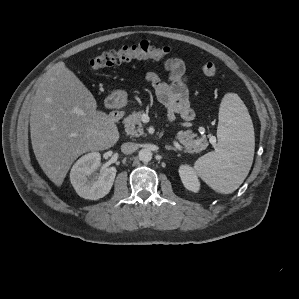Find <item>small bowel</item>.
Listing matches in <instances>:
<instances>
[{"instance_id":"small-bowel-1","label":"small bowel","mask_w":299,"mask_h":299,"mask_svg":"<svg viewBox=\"0 0 299 299\" xmlns=\"http://www.w3.org/2000/svg\"><path fill=\"white\" fill-rule=\"evenodd\" d=\"M164 69L169 72L168 81L161 80L155 72H148L146 80L153 86L158 101L166 107L168 119L172 121L175 115H179L185 121L193 120L184 61L177 57L169 58L164 63Z\"/></svg>"}]
</instances>
